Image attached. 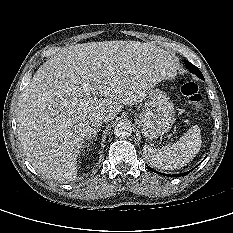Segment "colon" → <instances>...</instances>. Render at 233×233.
I'll use <instances>...</instances> for the list:
<instances>
[{
	"label": "colon",
	"mask_w": 233,
	"mask_h": 233,
	"mask_svg": "<svg viewBox=\"0 0 233 233\" xmlns=\"http://www.w3.org/2000/svg\"><path fill=\"white\" fill-rule=\"evenodd\" d=\"M178 84L180 85L181 93L187 101L197 110L202 108V95L198 86L185 78H179Z\"/></svg>",
	"instance_id": "colon-1"
}]
</instances>
